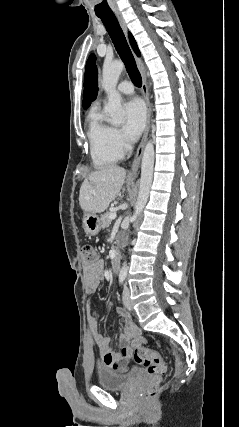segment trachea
Here are the masks:
<instances>
[{"label":"trachea","mask_w":239,"mask_h":427,"mask_svg":"<svg viewBox=\"0 0 239 427\" xmlns=\"http://www.w3.org/2000/svg\"><path fill=\"white\" fill-rule=\"evenodd\" d=\"M103 22L114 47L120 58L125 64L129 77L135 86L141 87L142 78L137 69L133 54L129 48L125 35L119 25V22L114 14L98 16Z\"/></svg>","instance_id":"3493384b"}]
</instances>
